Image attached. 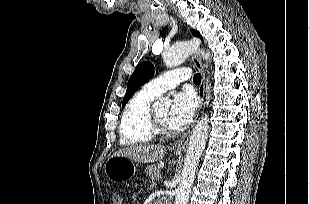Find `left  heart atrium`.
Returning a JSON list of instances; mask_svg holds the SVG:
<instances>
[{
  "label": "left heart atrium",
  "mask_w": 309,
  "mask_h": 204,
  "mask_svg": "<svg viewBox=\"0 0 309 204\" xmlns=\"http://www.w3.org/2000/svg\"><path fill=\"white\" fill-rule=\"evenodd\" d=\"M196 96L190 91H183L173 98L168 114V126L175 130L187 127L197 110Z\"/></svg>",
  "instance_id": "39dd6f15"
}]
</instances>
